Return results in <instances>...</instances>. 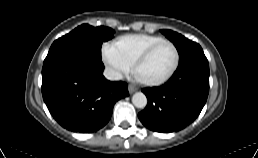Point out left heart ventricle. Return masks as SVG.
<instances>
[{
	"mask_svg": "<svg viewBox=\"0 0 258 158\" xmlns=\"http://www.w3.org/2000/svg\"><path fill=\"white\" fill-rule=\"evenodd\" d=\"M175 58L174 48L169 44H163L140 67L138 75L146 80L159 79L172 68Z\"/></svg>",
	"mask_w": 258,
	"mask_h": 158,
	"instance_id": "obj_1",
	"label": "left heart ventricle"
}]
</instances>
